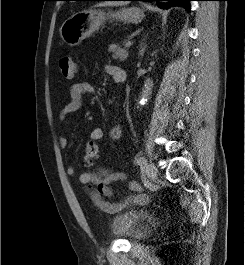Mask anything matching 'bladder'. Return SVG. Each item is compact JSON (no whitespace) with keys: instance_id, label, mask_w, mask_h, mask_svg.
I'll use <instances>...</instances> for the list:
<instances>
[{"instance_id":"1","label":"bladder","mask_w":245,"mask_h":265,"mask_svg":"<svg viewBox=\"0 0 245 265\" xmlns=\"http://www.w3.org/2000/svg\"><path fill=\"white\" fill-rule=\"evenodd\" d=\"M155 227V218L146 210H131L116 215L111 224L115 237L137 241L149 236Z\"/></svg>"}]
</instances>
